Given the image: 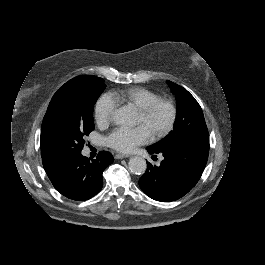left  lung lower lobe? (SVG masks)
Masks as SVG:
<instances>
[{"label":"left lung lower lobe","instance_id":"left-lung-lower-lobe-1","mask_svg":"<svg viewBox=\"0 0 265 265\" xmlns=\"http://www.w3.org/2000/svg\"><path fill=\"white\" fill-rule=\"evenodd\" d=\"M159 153L165 159L160 166L147 162L139 186L154 200L174 201L187 194L200 179L207 163L209 144L187 143Z\"/></svg>","mask_w":265,"mask_h":265}]
</instances>
